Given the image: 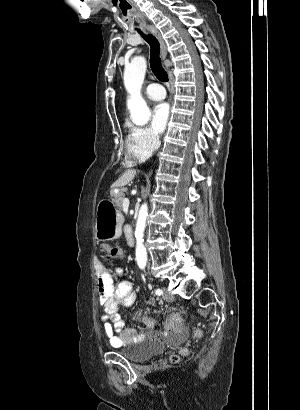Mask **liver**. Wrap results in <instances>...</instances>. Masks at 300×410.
I'll list each match as a JSON object with an SVG mask.
<instances>
[{
    "label": "liver",
    "mask_w": 300,
    "mask_h": 410,
    "mask_svg": "<svg viewBox=\"0 0 300 410\" xmlns=\"http://www.w3.org/2000/svg\"><path fill=\"white\" fill-rule=\"evenodd\" d=\"M136 175V170L128 169L122 176L112 185L113 187H122L131 182Z\"/></svg>",
    "instance_id": "obj_1"
}]
</instances>
